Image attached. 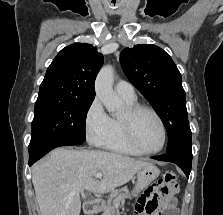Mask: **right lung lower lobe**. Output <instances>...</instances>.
<instances>
[{"label": "right lung lower lobe", "mask_w": 223, "mask_h": 215, "mask_svg": "<svg viewBox=\"0 0 223 215\" xmlns=\"http://www.w3.org/2000/svg\"><path fill=\"white\" fill-rule=\"evenodd\" d=\"M83 142L80 141H70V142H60L49 144L41 148H37L29 151V165L31 166L37 160L42 158L46 153L51 151L52 149L60 146H71V145H81Z\"/></svg>", "instance_id": "obj_1"}]
</instances>
